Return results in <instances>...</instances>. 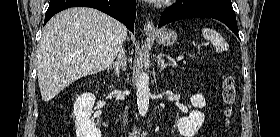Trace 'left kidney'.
Returning a JSON list of instances; mask_svg holds the SVG:
<instances>
[{
	"label": "left kidney",
	"instance_id": "1",
	"mask_svg": "<svg viewBox=\"0 0 280 137\" xmlns=\"http://www.w3.org/2000/svg\"><path fill=\"white\" fill-rule=\"evenodd\" d=\"M191 104L197 108L190 113L189 117H182L177 121L178 131L183 137H193L202 126L205 116L198 108L206 106L205 98L202 94H195L190 98Z\"/></svg>",
	"mask_w": 280,
	"mask_h": 137
}]
</instances>
